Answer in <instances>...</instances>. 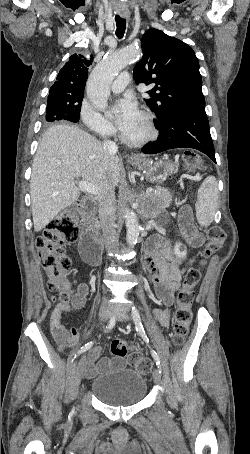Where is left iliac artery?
Wrapping results in <instances>:
<instances>
[{"mask_svg":"<svg viewBox=\"0 0 250 454\" xmlns=\"http://www.w3.org/2000/svg\"><path fill=\"white\" fill-rule=\"evenodd\" d=\"M131 315H132V319L135 323L136 331L141 335V337L144 339V341L148 343L149 339H148L147 335L145 334V330H144L142 322H141L139 311L137 310V308L135 306L132 307ZM151 355L154 358L156 365L158 366L160 374H161L162 373L161 361H160L158 354L154 350H152Z\"/></svg>","mask_w":250,"mask_h":454,"instance_id":"obj_1","label":"left iliac artery"}]
</instances>
